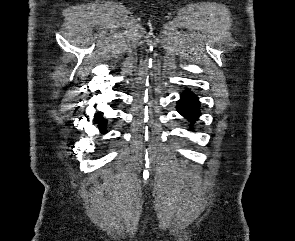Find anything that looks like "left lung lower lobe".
<instances>
[{
    "mask_svg": "<svg viewBox=\"0 0 295 241\" xmlns=\"http://www.w3.org/2000/svg\"><path fill=\"white\" fill-rule=\"evenodd\" d=\"M177 104L178 112L190 121H195L200 116L198 97L191 91H184Z\"/></svg>",
    "mask_w": 295,
    "mask_h": 241,
    "instance_id": "left-lung-lower-lobe-1",
    "label": "left lung lower lobe"
}]
</instances>
